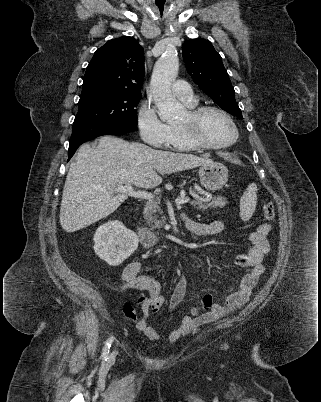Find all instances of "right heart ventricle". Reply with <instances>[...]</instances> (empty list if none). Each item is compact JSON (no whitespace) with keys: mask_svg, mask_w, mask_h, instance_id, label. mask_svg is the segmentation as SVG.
I'll return each instance as SVG.
<instances>
[{"mask_svg":"<svg viewBox=\"0 0 321 402\" xmlns=\"http://www.w3.org/2000/svg\"><path fill=\"white\" fill-rule=\"evenodd\" d=\"M197 101L194 103L186 104L189 108L197 107ZM170 138L168 142V146L172 147L173 149L180 150V151H193L197 150L198 147L193 145L183 134L181 129L179 128L178 124H170Z\"/></svg>","mask_w":321,"mask_h":402,"instance_id":"e07e8e85","label":"right heart ventricle"}]
</instances>
